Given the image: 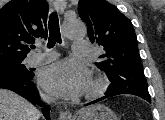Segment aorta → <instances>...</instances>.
Here are the masks:
<instances>
[{"label":"aorta","mask_w":165,"mask_h":120,"mask_svg":"<svg viewBox=\"0 0 165 120\" xmlns=\"http://www.w3.org/2000/svg\"><path fill=\"white\" fill-rule=\"evenodd\" d=\"M63 33L69 39L82 38L86 35V26L78 18L68 19L63 24Z\"/></svg>","instance_id":"obj_1"}]
</instances>
